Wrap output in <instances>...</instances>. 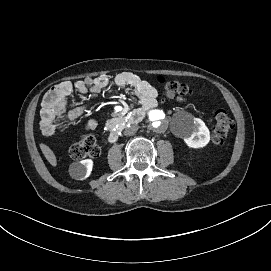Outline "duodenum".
<instances>
[{
  "mask_svg": "<svg viewBox=\"0 0 271 271\" xmlns=\"http://www.w3.org/2000/svg\"><path fill=\"white\" fill-rule=\"evenodd\" d=\"M144 116V110L143 109H136L135 111H133L129 117H128V121L129 123L131 124H135V123H138L142 120ZM118 131L116 130H113L110 132L109 134V141L111 143L115 142L117 139H118Z\"/></svg>",
  "mask_w": 271,
  "mask_h": 271,
  "instance_id": "410a0bca",
  "label": "duodenum"
}]
</instances>
